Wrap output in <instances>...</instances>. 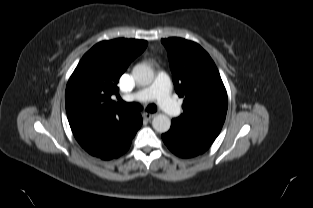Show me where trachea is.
<instances>
[{
  "mask_svg": "<svg viewBox=\"0 0 313 208\" xmlns=\"http://www.w3.org/2000/svg\"><path fill=\"white\" fill-rule=\"evenodd\" d=\"M118 103L120 105H122L124 107H127L129 109H132V110H140L141 109L140 104L135 103V102L127 103V102L123 101L122 99H119ZM146 110L148 112L154 113V112L157 111V107L154 104H150V105L147 106Z\"/></svg>",
  "mask_w": 313,
  "mask_h": 208,
  "instance_id": "1",
  "label": "trachea"
}]
</instances>
